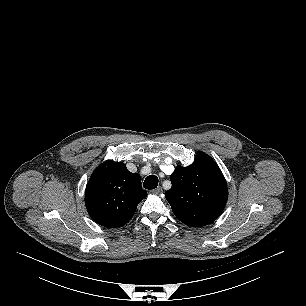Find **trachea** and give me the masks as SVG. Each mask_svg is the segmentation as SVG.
Wrapping results in <instances>:
<instances>
[{"mask_svg": "<svg viewBox=\"0 0 306 306\" xmlns=\"http://www.w3.org/2000/svg\"><path fill=\"white\" fill-rule=\"evenodd\" d=\"M157 185H158V178L155 175L148 176L143 184L144 188L149 190L155 189Z\"/></svg>", "mask_w": 306, "mask_h": 306, "instance_id": "1", "label": "trachea"}]
</instances>
